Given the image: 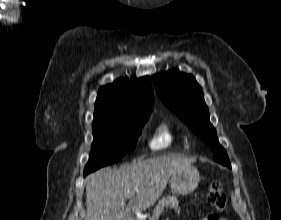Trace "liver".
I'll return each instance as SVG.
<instances>
[{"label": "liver", "instance_id": "liver-1", "mask_svg": "<svg viewBox=\"0 0 281 220\" xmlns=\"http://www.w3.org/2000/svg\"><path fill=\"white\" fill-rule=\"evenodd\" d=\"M193 159L169 154L102 168L86 178L85 220H135L132 213L150 208L162 195L171 175L190 167ZM132 193L127 196V191ZM126 198L129 203L126 205Z\"/></svg>", "mask_w": 281, "mask_h": 220}]
</instances>
